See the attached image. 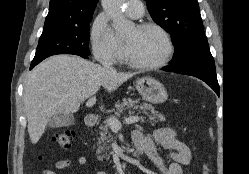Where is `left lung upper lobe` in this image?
I'll list each match as a JSON object with an SVG mask.
<instances>
[{
  "label": "left lung upper lobe",
  "instance_id": "obj_1",
  "mask_svg": "<svg viewBox=\"0 0 249 174\" xmlns=\"http://www.w3.org/2000/svg\"><path fill=\"white\" fill-rule=\"evenodd\" d=\"M153 20L171 34L176 70L215 69L197 0H146Z\"/></svg>",
  "mask_w": 249,
  "mask_h": 174
}]
</instances>
